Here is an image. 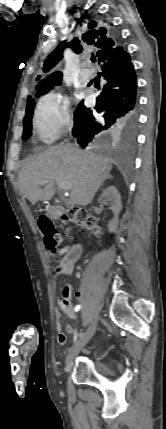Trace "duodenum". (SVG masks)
<instances>
[{
    "instance_id": "1",
    "label": "duodenum",
    "mask_w": 166,
    "mask_h": 429,
    "mask_svg": "<svg viewBox=\"0 0 166 429\" xmlns=\"http://www.w3.org/2000/svg\"><path fill=\"white\" fill-rule=\"evenodd\" d=\"M58 213H61V209L58 210Z\"/></svg>"
}]
</instances>
